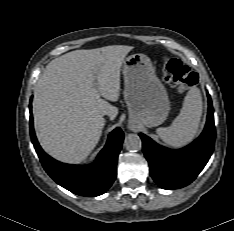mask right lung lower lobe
<instances>
[{
  "label": "right lung lower lobe",
  "mask_w": 234,
  "mask_h": 231,
  "mask_svg": "<svg viewBox=\"0 0 234 231\" xmlns=\"http://www.w3.org/2000/svg\"><path fill=\"white\" fill-rule=\"evenodd\" d=\"M29 108L32 143L50 177L77 195L94 197L105 193L116 178L117 158L124 139L121 129L116 128L109 134L105 147L93 164L89 166L68 165L54 160L42 150L34 133L31 103Z\"/></svg>",
  "instance_id": "obj_1"
}]
</instances>
